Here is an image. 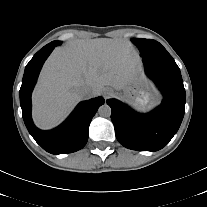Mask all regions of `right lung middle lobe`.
<instances>
[{
    "mask_svg": "<svg viewBox=\"0 0 207 207\" xmlns=\"http://www.w3.org/2000/svg\"><path fill=\"white\" fill-rule=\"evenodd\" d=\"M61 43H62V41L55 40V41H53V42L47 44V45L44 46V47H47V46H49V45L58 46V45H60ZM44 47H43V48H44Z\"/></svg>",
    "mask_w": 207,
    "mask_h": 207,
    "instance_id": "1",
    "label": "right lung middle lobe"
}]
</instances>
